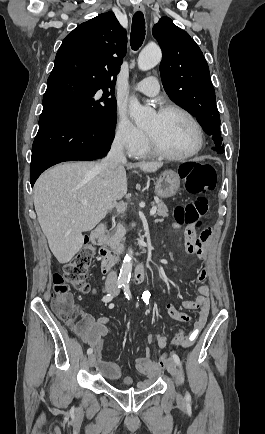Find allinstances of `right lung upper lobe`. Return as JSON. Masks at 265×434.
Returning <instances> with one entry per match:
<instances>
[{
  "label": "right lung upper lobe",
  "mask_w": 265,
  "mask_h": 434,
  "mask_svg": "<svg viewBox=\"0 0 265 434\" xmlns=\"http://www.w3.org/2000/svg\"><path fill=\"white\" fill-rule=\"evenodd\" d=\"M126 50V31L114 13L100 14L65 37L49 77L83 75L115 84Z\"/></svg>",
  "instance_id": "cb5924a9"
}]
</instances>
